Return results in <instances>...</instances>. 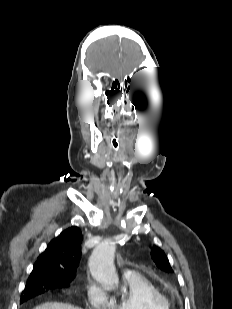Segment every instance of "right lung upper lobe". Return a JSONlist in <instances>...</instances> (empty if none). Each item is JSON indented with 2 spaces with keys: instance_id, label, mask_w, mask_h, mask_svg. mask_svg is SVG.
Here are the masks:
<instances>
[{
  "instance_id": "obj_1",
  "label": "right lung upper lobe",
  "mask_w": 232,
  "mask_h": 309,
  "mask_svg": "<svg viewBox=\"0 0 232 309\" xmlns=\"http://www.w3.org/2000/svg\"><path fill=\"white\" fill-rule=\"evenodd\" d=\"M81 241L82 233L78 227L64 230L39 255L30 277L48 274L72 281L81 257Z\"/></svg>"
}]
</instances>
